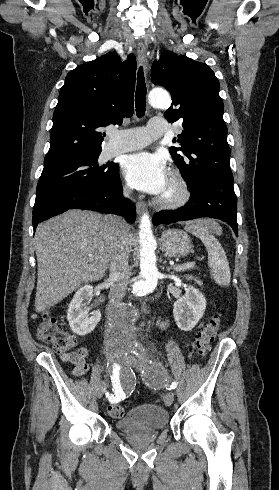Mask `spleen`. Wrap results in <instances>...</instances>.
I'll return each instance as SVG.
<instances>
[{
	"label": "spleen",
	"mask_w": 279,
	"mask_h": 490,
	"mask_svg": "<svg viewBox=\"0 0 279 490\" xmlns=\"http://www.w3.org/2000/svg\"><path fill=\"white\" fill-rule=\"evenodd\" d=\"M185 230L196 236V238H200L201 242L206 246L208 266L211 268L212 276L216 284L227 288L231 280L229 262L221 244L212 236V234H222V228L214 220H195V222H189ZM209 230H211L212 234H210Z\"/></svg>",
	"instance_id": "3e777b00"
}]
</instances>
